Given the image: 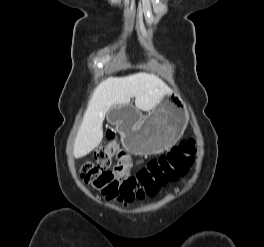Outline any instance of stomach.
<instances>
[{"instance_id":"0dacf381","label":"stomach","mask_w":264,"mask_h":247,"mask_svg":"<svg viewBox=\"0 0 264 247\" xmlns=\"http://www.w3.org/2000/svg\"><path fill=\"white\" fill-rule=\"evenodd\" d=\"M109 122L120 126L125 147L136 154H155L178 140L185 121L183 101L168 94L147 116L124 104L112 106Z\"/></svg>"}]
</instances>
